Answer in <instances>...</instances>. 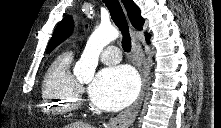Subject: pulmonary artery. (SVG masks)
Here are the masks:
<instances>
[{
  "instance_id": "1",
  "label": "pulmonary artery",
  "mask_w": 221,
  "mask_h": 128,
  "mask_svg": "<svg viewBox=\"0 0 221 128\" xmlns=\"http://www.w3.org/2000/svg\"><path fill=\"white\" fill-rule=\"evenodd\" d=\"M121 52L116 46L106 47L100 56V59L103 63L114 64L120 61Z\"/></svg>"
}]
</instances>
